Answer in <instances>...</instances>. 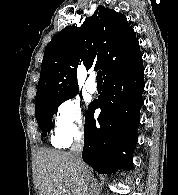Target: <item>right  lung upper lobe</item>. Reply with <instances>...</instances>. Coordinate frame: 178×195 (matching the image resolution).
I'll list each match as a JSON object with an SVG mask.
<instances>
[{
  "instance_id": "1",
  "label": "right lung upper lobe",
  "mask_w": 178,
  "mask_h": 195,
  "mask_svg": "<svg viewBox=\"0 0 178 195\" xmlns=\"http://www.w3.org/2000/svg\"><path fill=\"white\" fill-rule=\"evenodd\" d=\"M79 59L93 64L104 79L132 68L142 60L138 40L126 17L99 5L81 27L67 26L47 45L35 97V108L49 100L78 92Z\"/></svg>"
}]
</instances>
